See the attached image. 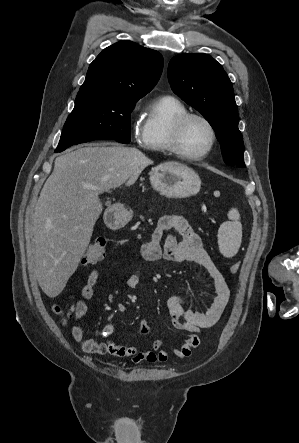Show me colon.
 <instances>
[{"instance_id":"5ec220e1","label":"colon","mask_w":299,"mask_h":443,"mask_svg":"<svg viewBox=\"0 0 299 443\" xmlns=\"http://www.w3.org/2000/svg\"><path fill=\"white\" fill-rule=\"evenodd\" d=\"M106 253V241L104 239H97L91 242L83 256L82 262L84 264H92L102 260ZM240 268L239 262H234L230 266L231 273H237ZM53 311L62 316L64 321L70 317L69 313L60 305L56 304L53 306Z\"/></svg>"}]
</instances>
